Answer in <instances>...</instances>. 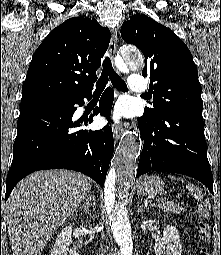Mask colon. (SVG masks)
Here are the masks:
<instances>
[{
    "label": "colon",
    "instance_id": "1",
    "mask_svg": "<svg viewBox=\"0 0 221 255\" xmlns=\"http://www.w3.org/2000/svg\"><path fill=\"white\" fill-rule=\"evenodd\" d=\"M198 237L201 243L198 255H209L208 253V244L211 241L212 231L211 225L209 223L211 215V206L208 201H203L198 206Z\"/></svg>",
    "mask_w": 221,
    "mask_h": 255
}]
</instances>
